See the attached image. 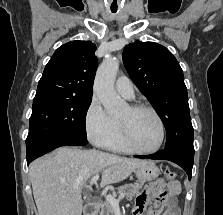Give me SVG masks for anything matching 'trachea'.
<instances>
[{
  "label": "trachea",
  "mask_w": 223,
  "mask_h": 215,
  "mask_svg": "<svg viewBox=\"0 0 223 215\" xmlns=\"http://www.w3.org/2000/svg\"><path fill=\"white\" fill-rule=\"evenodd\" d=\"M113 13H115L117 10H111Z\"/></svg>",
  "instance_id": "trachea-1"
}]
</instances>
